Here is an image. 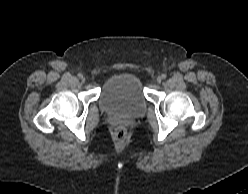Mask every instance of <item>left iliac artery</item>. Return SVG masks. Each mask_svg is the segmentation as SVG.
I'll return each instance as SVG.
<instances>
[{"label":"left iliac artery","instance_id":"left-iliac-artery-1","mask_svg":"<svg viewBox=\"0 0 248 194\" xmlns=\"http://www.w3.org/2000/svg\"><path fill=\"white\" fill-rule=\"evenodd\" d=\"M161 77H162L163 79H165L167 76H166V74H162Z\"/></svg>","mask_w":248,"mask_h":194}]
</instances>
